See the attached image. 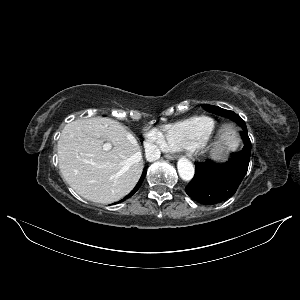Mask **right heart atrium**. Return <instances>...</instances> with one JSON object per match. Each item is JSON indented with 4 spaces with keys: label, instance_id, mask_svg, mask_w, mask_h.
Returning <instances> with one entry per match:
<instances>
[{
    "label": "right heart atrium",
    "instance_id": "d8ad5b80",
    "mask_svg": "<svg viewBox=\"0 0 300 300\" xmlns=\"http://www.w3.org/2000/svg\"><path fill=\"white\" fill-rule=\"evenodd\" d=\"M146 139L149 143L155 146L157 149L161 151H167L168 145L164 138L163 133L156 128H149L145 133Z\"/></svg>",
    "mask_w": 300,
    "mask_h": 300
}]
</instances>
